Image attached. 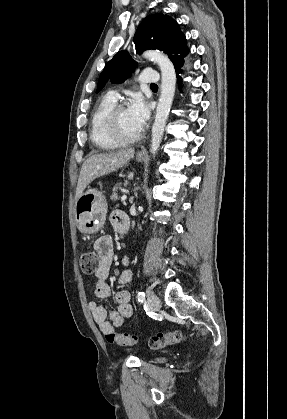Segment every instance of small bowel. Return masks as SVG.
<instances>
[{"label": "small bowel", "mask_w": 287, "mask_h": 419, "mask_svg": "<svg viewBox=\"0 0 287 419\" xmlns=\"http://www.w3.org/2000/svg\"><path fill=\"white\" fill-rule=\"evenodd\" d=\"M111 223L115 230L120 231L124 226L129 227V219L127 215L117 210L111 215ZM94 249L100 256L99 269L96 272V281L94 283V295L97 299H108L111 296L110 287L106 283L109 275L112 259H113V241L110 235L99 237L94 243ZM133 278L131 270H124L120 273L118 282L127 284ZM117 309L112 311L107 318L106 309L97 302L89 303V310L103 334L114 332V329L120 327L126 318L133 314V308L130 304V293L126 290L118 291L115 294Z\"/></svg>", "instance_id": "obj_1"}]
</instances>
